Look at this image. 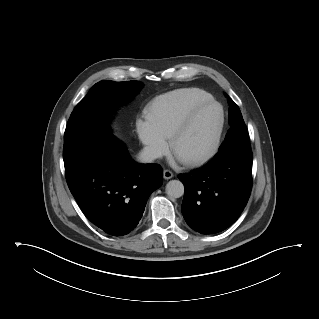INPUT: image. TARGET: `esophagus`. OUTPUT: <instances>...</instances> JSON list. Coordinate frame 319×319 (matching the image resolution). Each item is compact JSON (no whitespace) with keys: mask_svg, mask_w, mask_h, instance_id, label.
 Instances as JSON below:
<instances>
[{"mask_svg":"<svg viewBox=\"0 0 319 319\" xmlns=\"http://www.w3.org/2000/svg\"><path fill=\"white\" fill-rule=\"evenodd\" d=\"M163 176L166 180L171 179L174 175L170 170H164L163 171Z\"/></svg>","mask_w":319,"mask_h":319,"instance_id":"1","label":"esophagus"}]
</instances>
